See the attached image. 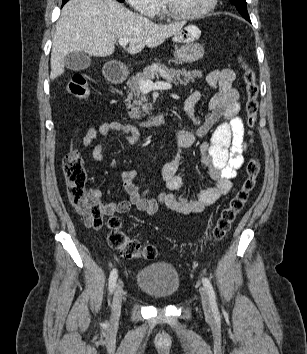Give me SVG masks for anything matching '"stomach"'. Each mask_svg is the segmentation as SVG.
Segmentation results:
<instances>
[{"instance_id":"0dacf381","label":"stomach","mask_w":307,"mask_h":354,"mask_svg":"<svg viewBox=\"0 0 307 354\" xmlns=\"http://www.w3.org/2000/svg\"><path fill=\"white\" fill-rule=\"evenodd\" d=\"M199 36L200 30L195 25H189L184 30L175 34L173 41L182 43V46L174 53L175 58L179 62L192 63L204 56L205 50L203 45L195 42Z\"/></svg>"}]
</instances>
